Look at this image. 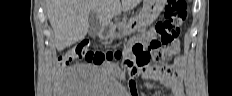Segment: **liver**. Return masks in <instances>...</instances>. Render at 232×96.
Masks as SVG:
<instances>
[{
  "label": "liver",
  "mask_w": 232,
  "mask_h": 96,
  "mask_svg": "<svg viewBox=\"0 0 232 96\" xmlns=\"http://www.w3.org/2000/svg\"><path fill=\"white\" fill-rule=\"evenodd\" d=\"M141 0H46L49 22L55 36L58 51L85 38L88 33V17L93 10L98 14L102 25L121 11L136 7Z\"/></svg>",
  "instance_id": "liver-1"
}]
</instances>
